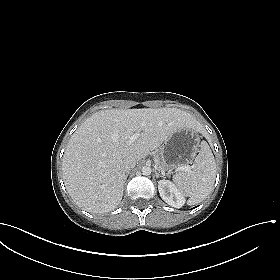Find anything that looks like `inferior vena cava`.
Listing matches in <instances>:
<instances>
[{
    "instance_id": "inferior-vena-cava-1",
    "label": "inferior vena cava",
    "mask_w": 280,
    "mask_h": 280,
    "mask_svg": "<svg viewBox=\"0 0 280 280\" xmlns=\"http://www.w3.org/2000/svg\"><path fill=\"white\" fill-rule=\"evenodd\" d=\"M123 166L126 172H129L136 166V159L134 157L128 156L123 160Z\"/></svg>"
}]
</instances>
